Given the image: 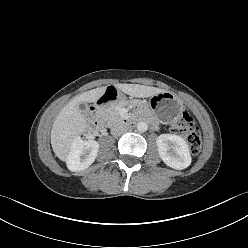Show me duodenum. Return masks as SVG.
<instances>
[{
  "label": "duodenum",
  "instance_id": "410a0bca",
  "mask_svg": "<svg viewBox=\"0 0 248 248\" xmlns=\"http://www.w3.org/2000/svg\"><path fill=\"white\" fill-rule=\"evenodd\" d=\"M119 98V93L114 86H109L106 93L99 99L96 105L91 108V124L96 130H101L103 127L102 108ZM135 122V119L128 117L125 119L126 125L130 126ZM155 126V123H152Z\"/></svg>",
  "mask_w": 248,
  "mask_h": 248
}]
</instances>
